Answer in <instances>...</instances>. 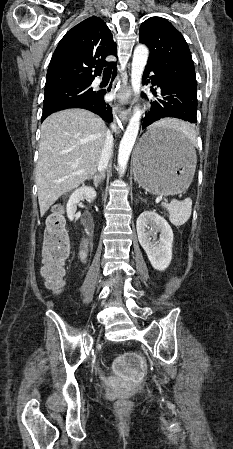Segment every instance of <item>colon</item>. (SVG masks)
Listing matches in <instances>:
<instances>
[{"mask_svg":"<svg viewBox=\"0 0 233 449\" xmlns=\"http://www.w3.org/2000/svg\"><path fill=\"white\" fill-rule=\"evenodd\" d=\"M42 274L49 286L59 291L63 287L64 264L69 255V237L65 229L63 207L55 205L47 219L42 243ZM118 409L126 407L125 401L116 404Z\"/></svg>","mask_w":233,"mask_h":449,"instance_id":"obj_1","label":"colon"}]
</instances>
